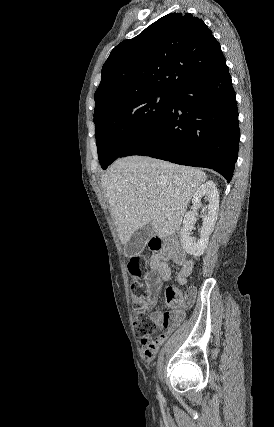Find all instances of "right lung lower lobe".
Instances as JSON below:
<instances>
[{"label": "right lung lower lobe", "mask_w": 274, "mask_h": 427, "mask_svg": "<svg viewBox=\"0 0 274 427\" xmlns=\"http://www.w3.org/2000/svg\"><path fill=\"white\" fill-rule=\"evenodd\" d=\"M238 146V110L225 65L173 93L163 119L119 157L145 155L210 168L230 182Z\"/></svg>", "instance_id": "98d812e1"}]
</instances>
